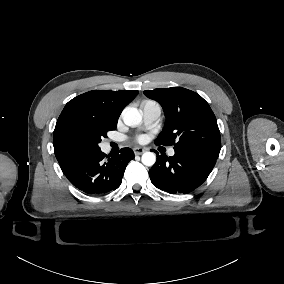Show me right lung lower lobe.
<instances>
[{
	"label": "right lung lower lobe",
	"mask_w": 284,
	"mask_h": 284,
	"mask_svg": "<svg viewBox=\"0 0 284 284\" xmlns=\"http://www.w3.org/2000/svg\"><path fill=\"white\" fill-rule=\"evenodd\" d=\"M100 149L73 158L60 165L64 175L79 190L89 195H102L117 189L125 168L134 159L130 148L105 158Z\"/></svg>",
	"instance_id": "98d812e1"
}]
</instances>
